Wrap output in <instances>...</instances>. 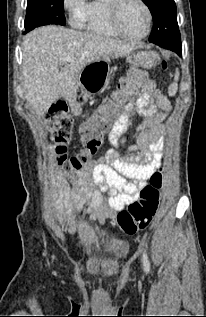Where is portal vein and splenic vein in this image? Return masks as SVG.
I'll list each match as a JSON object with an SVG mask.
<instances>
[{
  "label": "portal vein and splenic vein",
  "instance_id": "1",
  "mask_svg": "<svg viewBox=\"0 0 206 317\" xmlns=\"http://www.w3.org/2000/svg\"><path fill=\"white\" fill-rule=\"evenodd\" d=\"M65 59L67 61H73L75 58L73 56H67Z\"/></svg>",
  "mask_w": 206,
  "mask_h": 317
}]
</instances>
